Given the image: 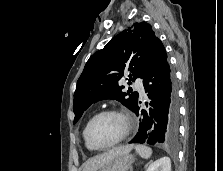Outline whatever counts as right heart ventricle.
<instances>
[{
    "label": "right heart ventricle",
    "mask_w": 223,
    "mask_h": 171,
    "mask_svg": "<svg viewBox=\"0 0 223 171\" xmlns=\"http://www.w3.org/2000/svg\"><path fill=\"white\" fill-rule=\"evenodd\" d=\"M85 127H86V125L84 126L83 131H82V135H83V139H84L85 146H86V148H87L88 150H93V149L88 145V143H87V141H86V139H85Z\"/></svg>",
    "instance_id": "obj_1"
}]
</instances>
